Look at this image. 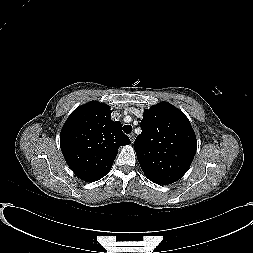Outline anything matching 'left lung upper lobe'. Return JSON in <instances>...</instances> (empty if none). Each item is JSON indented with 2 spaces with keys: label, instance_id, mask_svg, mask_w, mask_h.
I'll use <instances>...</instances> for the list:
<instances>
[{
  "label": "left lung upper lobe",
  "instance_id": "left-lung-upper-lobe-1",
  "mask_svg": "<svg viewBox=\"0 0 253 253\" xmlns=\"http://www.w3.org/2000/svg\"><path fill=\"white\" fill-rule=\"evenodd\" d=\"M142 132L134 142L137 159L149 180L168 185L189 169L197 148L190 121L168 102L145 110Z\"/></svg>",
  "mask_w": 253,
  "mask_h": 253
}]
</instances>
